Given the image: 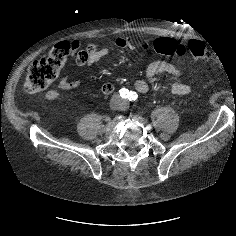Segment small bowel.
<instances>
[{
  "label": "small bowel",
  "mask_w": 236,
  "mask_h": 236,
  "mask_svg": "<svg viewBox=\"0 0 236 236\" xmlns=\"http://www.w3.org/2000/svg\"><path fill=\"white\" fill-rule=\"evenodd\" d=\"M114 44L119 49H134L136 47V41L133 37H118L115 39ZM71 47L77 51L75 56L76 64L88 68H91L100 59L110 53L109 48H99L94 43H88L83 47L82 42L77 39L71 42ZM163 73L176 78H182L184 76L183 71L174 64L165 61H154L145 70L146 80L138 79L134 82L135 89L140 93L147 92L151 85L158 83V76ZM80 86L81 82L79 80L71 81L68 77L63 78L59 83V88L62 90H74ZM168 89L175 95H187L190 92V86L182 82L172 83L168 86ZM101 90L104 94L109 95L113 92L114 85L109 82L104 83ZM59 97L60 92L56 89H50L46 93L48 100H57Z\"/></svg>",
  "instance_id": "small-bowel-1"
}]
</instances>
